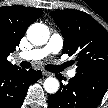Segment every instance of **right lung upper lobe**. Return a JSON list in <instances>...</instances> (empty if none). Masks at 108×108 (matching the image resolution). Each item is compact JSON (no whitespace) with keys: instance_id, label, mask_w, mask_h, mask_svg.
<instances>
[{"instance_id":"1","label":"right lung upper lobe","mask_w":108,"mask_h":108,"mask_svg":"<svg viewBox=\"0 0 108 108\" xmlns=\"http://www.w3.org/2000/svg\"><path fill=\"white\" fill-rule=\"evenodd\" d=\"M42 13L40 8L18 5L0 7V72L19 68L12 65L7 57L19 46L29 25Z\"/></svg>"}]
</instances>
